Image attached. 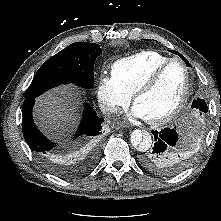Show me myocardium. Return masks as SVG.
<instances>
[{
    "label": "myocardium",
    "instance_id": "1",
    "mask_svg": "<svg viewBox=\"0 0 221 221\" xmlns=\"http://www.w3.org/2000/svg\"><path fill=\"white\" fill-rule=\"evenodd\" d=\"M174 62H179L183 65L185 74H186V85L184 92L182 94V97L180 98L179 102L176 104V106L167 114L157 117V118H147V121L153 125H163L171 120H173L185 107L190 94L192 90V78H191V71L186 63V61L180 57H173L168 59L166 62H164L162 65H160L158 68H156L152 74L136 89V91L133 94V102L136 104V101L139 97L146 94L150 90H152L155 85L158 83L159 79L163 75V73L166 71V69L173 64Z\"/></svg>",
    "mask_w": 221,
    "mask_h": 221
}]
</instances>
